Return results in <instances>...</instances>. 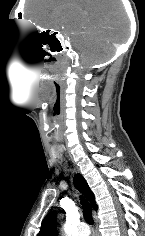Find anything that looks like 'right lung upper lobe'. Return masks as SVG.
<instances>
[{"label": "right lung upper lobe", "instance_id": "obj_1", "mask_svg": "<svg viewBox=\"0 0 145 236\" xmlns=\"http://www.w3.org/2000/svg\"><path fill=\"white\" fill-rule=\"evenodd\" d=\"M74 184L88 198V200L91 202L92 207L97 210V204L95 202L94 194L81 174H76L74 176ZM37 236H57L55 211L50 212L44 218L41 224L40 232Z\"/></svg>", "mask_w": 145, "mask_h": 236}]
</instances>
